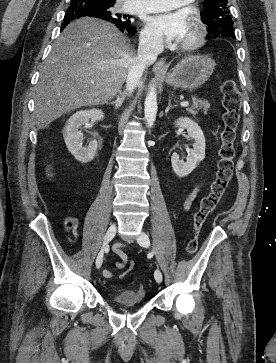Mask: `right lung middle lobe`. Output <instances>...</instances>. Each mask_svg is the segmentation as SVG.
<instances>
[{
    "mask_svg": "<svg viewBox=\"0 0 276 363\" xmlns=\"http://www.w3.org/2000/svg\"><path fill=\"white\" fill-rule=\"evenodd\" d=\"M115 3L102 2L99 0H72L67 12H73L75 10H87L100 16L103 20H124L127 17L122 18L121 14H114L112 8ZM66 12V13H67ZM130 19H127L129 22Z\"/></svg>",
    "mask_w": 276,
    "mask_h": 363,
    "instance_id": "dd1d6c3e",
    "label": "right lung middle lobe"
}]
</instances>
